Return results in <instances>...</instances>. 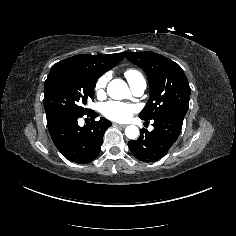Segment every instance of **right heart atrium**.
I'll return each mask as SVG.
<instances>
[{"instance_id": "1", "label": "right heart atrium", "mask_w": 236, "mask_h": 236, "mask_svg": "<svg viewBox=\"0 0 236 236\" xmlns=\"http://www.w3.org/2000/svg\"><path fill=\"white\" fill-rule=\"evenodd\" d=\"M107 83H108L107 76H102L96 82V84H95V95L98 98H102L105 95V88L107 86Z\"/></svg>"}]
</instances>
